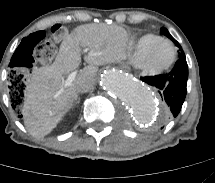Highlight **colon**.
I'll return each mask as SVG.
<instances>
[{"label": "colon", "instance_id": "obj_1", "mask_svg": "<svg viewBox=\"0 0 215 183\" xmlns=\"http://www.w3.org/2000/svg\"><path fill=\"white\" fill-rule=\"evenodd\" d=\"M67 35L62 24H54L51 28H43L31 33L25 43L19 46L18 54L13 59L9 75V90L13 100L23 101L26 81L23 74L34 64L46 67L52 63L56 51L60 48V40Z\"/></svg>", "mask_w": 215, "mask_h": 183}]
</instances>
